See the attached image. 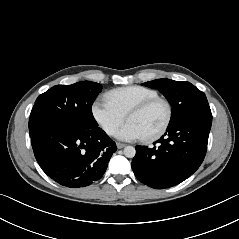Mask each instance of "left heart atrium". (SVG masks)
Returning a JSON list of instances; mask_svg holds the SVG:
<instances>
[{
	"mask_svg": "<svg viewBox=\"0 0 239 239\" xmlns=\"http://www.w3.org/2000/svg\"><path fill=\"white\" fill-rule=\"evenodd\" d=\"M117 138L125 141H133L144 138L140 129L132 122L125 123L116 133Z\"/></svg>",
	"mask_w": 239,
	"mask_h": 239,
	"instance_id": "39dd6f15",
	"label": "left heart atrium"
}]
</instances>
